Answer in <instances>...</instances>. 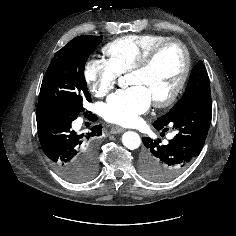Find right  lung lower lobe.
Masks as SVG:
<instances>
[{
	"label": "right lung lower lobe",
	"mask_w": 236,
	"mask_h": 236,
	"mask_svg": "<svg viewBox=\"0 0 236 236\" xmlns=\"http://www.w3.org/2000/svg\"><path fill=\"white\" fill-rule=\"evenodd\" d=\"M90 120L97 117L89 112ZM78 117L60 108L38 107L37 128L43 152L54 168L67 180L79 182L81 168L97 158L98 136L102 127L96 125L87 134H78L72 129V122Z\"/></svg>",
	"instance_id": "1"
}]
</instances>
